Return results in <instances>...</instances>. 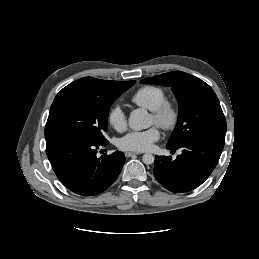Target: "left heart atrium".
Here are the masks:
<instances>
[{
  "label": "left heart atrium",
  "instance_id": "1",
  "mask_svg": "<svg viewBox=\"0 0 259 259\" xmlns=\"http://www.w3.org/2000/svg\"><path fill=\"white\" fill-rule=\"evenodd\" d=\"M160 138L157 127L143 131H133L118 141V146L123 150L143 152L151 149L154 142Z\"/></svg>",
  "mask_w": 259,
  "mask_h": 259
}]
</instances>
